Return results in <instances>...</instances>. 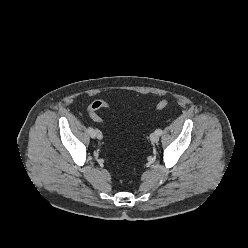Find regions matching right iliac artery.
<instances>
[{
	"instance_id": "1",
	"label": "right iliac artery",
	"mask_w": 248,
	"mask_h": 248,
	"mask_svg": "<svg viewBox=\"0 0 248 248\" xmlns=\"http://www.w3.org/2000/svg\"><path fill=\"white\" fill-rule=\"evenodd\" d=\"M88 133L90 134V136H91L92 138H94L95 132H94V129H93L92 127H88Z\"/></svg>"
}]
</instances>
